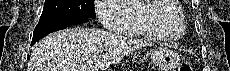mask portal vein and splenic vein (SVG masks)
I'll use <instances>...</instances> for the list:
<instances>
[{
  "mask_svg": "<svg viewBox=\"0 0 230 71\" xmlns=\"http://www.w3.org/2000/svg\"><path fill=\"white\" fill-rule=\"evenodd\" d=\"M78 71H97L96 68H89V67H81L80 69H78Z\"/></svg>",
  "mask_w": 230,
  "mask_h": 71,
  "instance_id": "obj_1",
  "label": "portal vein and splenic vein"
}]
</instances>
